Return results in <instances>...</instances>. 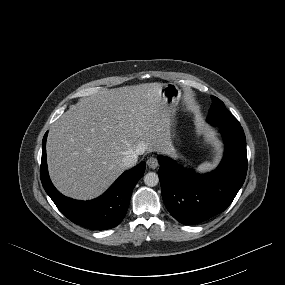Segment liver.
Masks as SVG:
<instances>
[{
    "mask_svg": "<svg viewBox=\"0 0 285 285\" xmlns=\"http://www.w3.org/2000/svg\"><path fill=\"white\" fill-rule=\"evenodd\" d=\"M162 83L105 90L65 112L47 140L49 174L66 196L88 200L102 194L126 169L129 154L174 153V110L161 95Z\"/></svg>",
    "mask_w": 285,
    "mask_h": 285,
    "instance_id": "obj_1",
    "label": "liver"
}]
</instances>
